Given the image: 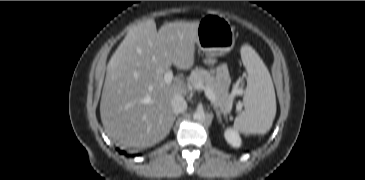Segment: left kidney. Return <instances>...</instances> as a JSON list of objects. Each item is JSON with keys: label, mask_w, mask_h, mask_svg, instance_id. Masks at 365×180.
<instances>
[{"label": "left kidney", "mask_w": 365, "mask_h": 180, "mask_svg": "<svg viewBox=\"0 0 365 180\" xmlns=\"http://www.w3.org/2000/svg\"><path fill=\"white\" fill-rule=\"evenodd\" d=\"M224 136L226 141L233 147L238 148L241 146V138L236 131L232 129H226L224 132Z\"/></svg>", "instance_id": "obj_1"}]
</instances>
